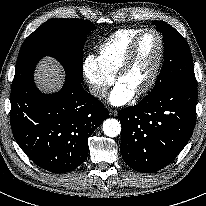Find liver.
I'll return each instance as SVG.
<instances>
[{
    "mask_svg": "<svg viewBox=\"0 0 206 206\" xmlns=\"http://www.w3.org/2000/svg\"><path fill=\"white\" fill-rule=\"evenodd\" d=\"M34 76L38 87L47 93L59 90L64 83L63 70L51 57H45L40 61Z\"/></svg>",
    "mask_w": 206,
    "mask_h": 206,
    "instance_id": "obj_1",
    "label": "liver"
}]
</instances>
